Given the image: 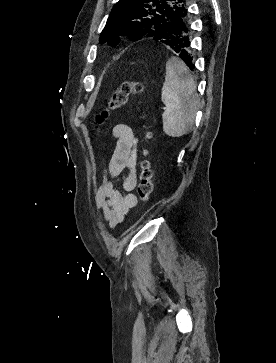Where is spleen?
I'll return each instance as SVG.
<instances>
[{"instance_id":"3e777b00","label":"spleen","mask_w":276,"mask_h":363,"mask_svg":"<svg viewBox=\"0 0 276 363\" xmlns=\"http://www.w3.org/2000/svg\"><path fill=\"white\" fill-rule=\"evenodd\" d=\"M161 100L163 131L170 137H181L193 127L198 105L196 83L186 64L177 57L166 62L165 82Z\"/></svg>"}]
</instances>
